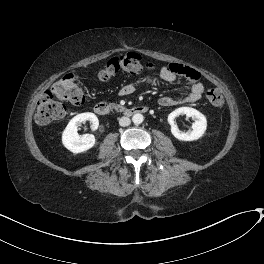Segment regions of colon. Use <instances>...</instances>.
Segmentation results:
<instances>
[{
    "label": "colon",
    "mask_w": 264,
    "mask_h": 264,
    "mask_svg": "<svg viewBox=\"0 0 264 264\" xmlns=\"http://www.w3.org/2000/svg\"><path fill=\"white\" fill-rule=\"evenodd\" d=\"M146 68L143 59L134 53H128L110 59L100 72V78L107 80L117 73H138ZM85 99L84 89L74 75L68 74L56 82L52 92H44L38 99L35 119L37 123L46 125L60 120L68 114L67 107L61 102L66 101L73 105L81 104ZM206 99L214 107L223 105L222 92L215 87L206 89Z\"/></svg>",
    "instance_id": "1"
}]
</instances>
